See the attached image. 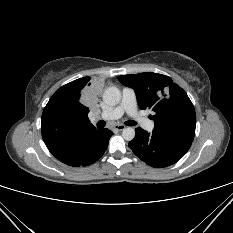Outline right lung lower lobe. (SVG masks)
Segmentation results:
<instances>
[{
    "label": "right lung lower lobe",
    "instance_id": "98d812e1",
    "mask_svg": "<svg viewBox=\"0 0 233 233\" xmlns=\"http://www.w3.org/2000/svg\"><path fill=\"white\" fill-rule=\"evenodd\" d=\"M113 132L101 129L85 136L79 143L71 148H59L52 141L45 140L48 150L61 162L73 166H87L94 163L105 152Z\"/></svg>",
    "mask_w": 233,
    "mask_h": 233
}]
</instances>
